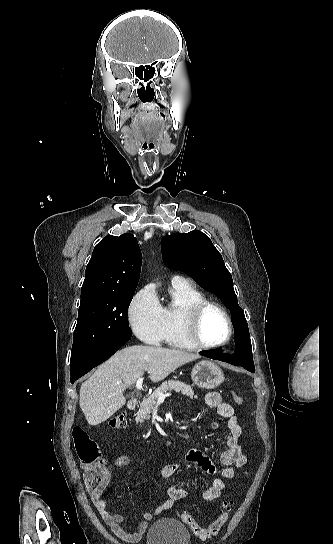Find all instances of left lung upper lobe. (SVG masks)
<instances>
[{"label": "left lung upper lobe", "instance_id": "left-lung-upper-lobe-1", "mask_svg": "<svg viewBox=\"0 0 333 544\" xmlns=\"http://www.w3.org/2000/svg\"><path fill=\"white\" fill-rule=\"evenodd\" d=\"M161 247L168 268L188 273L202 288L215 293L230 308L233 325L244 326L248 340L247 348L237 354V359L253 363L247 323L237 302L232 276L209 237L198 230L166 235L162 238Z\"/></svg>", "mask_w": 333, "mask_h": 544}]
</instances>
